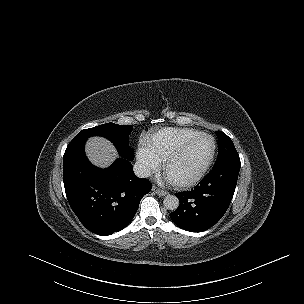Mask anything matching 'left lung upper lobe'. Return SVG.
Instances as JSON below:
<instances>
[{
  "mask_svg": "<svg viewBox=\"0 0 304 304\" xmlns=\"http://www.w3.org/2000/svg\"><path fill=\"white\" fill-rule=\"evenodd\" d=\"M216 135L219 140L218 141L219 152L214 167L230 160L240 159L231 139L221 131H216Z\"/></svg>",
  "mask_w": 304,
  "mask_h": 304,
  "instance_id": "obj_1",
  "label": "left lung upper lobe"
}]
</instances>
